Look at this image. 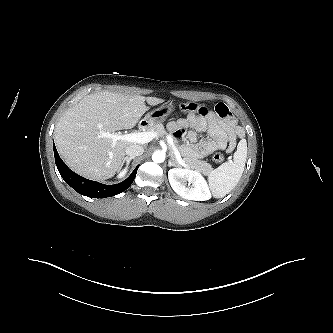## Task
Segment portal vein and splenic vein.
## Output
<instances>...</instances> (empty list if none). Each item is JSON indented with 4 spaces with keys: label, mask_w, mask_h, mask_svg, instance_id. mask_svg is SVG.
<instances>
[{
    "label": "portal vein and splenic vein",
    "mask_w": 333,
    "mask_h": 333,
    "mask_svg": "<svg viewBox=\"0 0 333 333\" xmlns=\"http://www.w3.org/2000/svg\"><path fill=\"white\" fill-rule=\"evenodd\" d=\"M101 136L104 138L112 139L113 145L119 140L130 142V143L145 144V143L152 141L155 138H158V133L153 132V131L134 132V133H129V134L102 132ZM167 142L169 143V145H171L173 147L174 155H175L178 163L185 166L184 160L181 158L179 151L174 146L173 138L168 136Z\"/></svg>",
    "instance_id": "portal-vein-and-splenic-vein-1"
}]
</instances>
